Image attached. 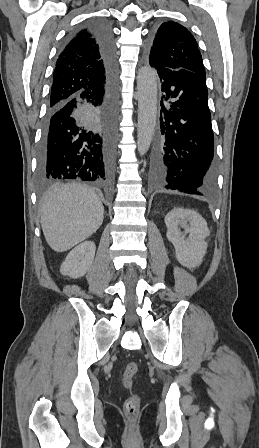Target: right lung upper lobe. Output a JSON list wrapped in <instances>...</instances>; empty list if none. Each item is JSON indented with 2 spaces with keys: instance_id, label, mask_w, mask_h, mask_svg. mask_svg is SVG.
<instances>
[{
  "instance_id": "cb5924a9",
  "label": "right lung upper lobe",
  "mask_w": 259,
  "mask_h": 448,
  "mask_svg": "<svg viewBox=\"0 0 259 448\" xmlns=\"http://www.w3.org/2000/svg\"><path fill=\"white\" fill-rule=\"evenodd\" d=\"M106 83V68L93 34L84 29L61 50L53 74L50 105Z\"/></svg>"
}]
</instances>
